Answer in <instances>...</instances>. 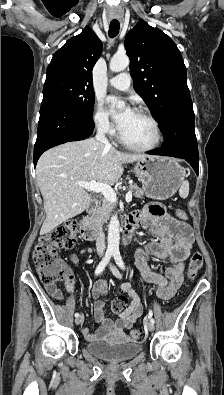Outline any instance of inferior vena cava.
Listing matches in <instances>:
<instances>
[{
	"instance_id": "obj_1",
	"label": "inferior vena cava",
	"mask_w": 224,
	"mask_h": 395,
	"mask_svg": "<svg viewBox=\"0 0 224 395\" xmlns=\"http://www.w3.org/2000/svg\"><path fill=\"white\" fill-rule=\"evenodd\" d=\"M106 132H107V124L105 122L100 123L95 138L97 141L102 143L106 148L110 149L112 148V145L109 143L108 139L105 136ZM105 248H106L105 234L103 231H100L96 239V250L99 254H102L105 251Z\"/></svg>"
}]
</instances>
